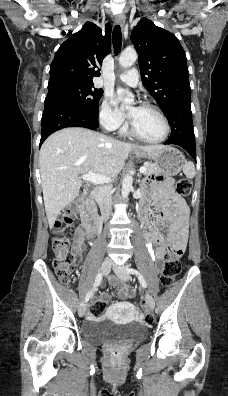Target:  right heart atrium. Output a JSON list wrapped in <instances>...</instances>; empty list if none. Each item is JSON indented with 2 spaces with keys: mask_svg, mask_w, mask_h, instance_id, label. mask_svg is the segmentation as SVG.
I'll return each mask as SVG.
<instances>
[{
  "mask_svg": "<svg viewBox=\"0 0 228 396\" xmlns=\"http://www.w3.org/2000/svg\"><path fill=\"white\" fill-rule=\"evenodd\" d=\"M99 121L108 131H118L125 127L124 119L114 110L109 96H104L100 109Z\"/></svg>",
  "mask_w": 228,
  "mask_h": 396,
  "instance_id": "1",
  "label": "right heart atrium"
}]
</instances>
